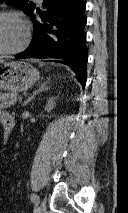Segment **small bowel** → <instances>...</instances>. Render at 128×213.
Returning a JSON list of instances; mask_svg holds the SVG:
<instances>
[{
	"label": "small bowel",
	"mask_w": 128,
	"mask_h": 213,
	"mask_svg": "<svg viewBox=\"0 0 128 213\" xmlns=\"http://www.w3.org/2000/svg\"><path fill=\"white\" fill-rule=\"evenodd\" d=\"M6 115H8V113H5L0 109V121L1 122L3 121V119L5 118Z\"/></svg>",
	"instance_id": "1"
}]
</instances>
